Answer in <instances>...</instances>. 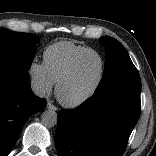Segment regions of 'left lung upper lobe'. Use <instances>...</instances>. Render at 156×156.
Returning <instances> with one entry per match:
<instances>
[{"label": "left lung upper lobe", "mask_w": 156, "mask_h": 156, "mask_svg": "<svg viewBox=\"0 0 156 156\" xmlns=\"http://www.w3.org/2000/svg\"><path fill=\"white\" fill-rule=\"evenodd\" d=\"M100 39L106 46V61L103 77L95 93L110 88L141 90L139 73L124 46L109 36H103Z\"/></svg>", "instance_id": "left-lung-upper-lobe-1"}]
</instances>
